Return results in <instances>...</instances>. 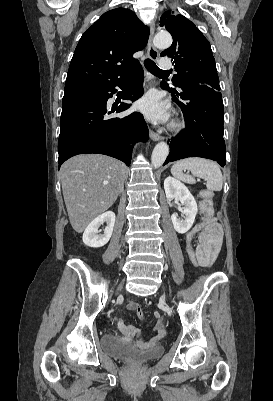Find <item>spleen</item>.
Masks as SVG:
<instances>
[{"label":"spleen","instance_id":"3e777b00","mask_svg":"<svg viewBox=\"0 0 273 401\" xmlns=\"http://www.w3.org/2000/svg\"><path fill=\"white\" fill-rule=\"evenodd\" d=\"M191 170V174H184L182 170ZM171 172L173 176L179 178V180H184V182H189L193 184L195 182L194 176H199V178H204L206 180V186L208 190H221L223 184L222 172L213 160H207V158H182V160H177L174 162Z\"/></svg>","mask_w":273,"mask_h":401}]
</instances>
